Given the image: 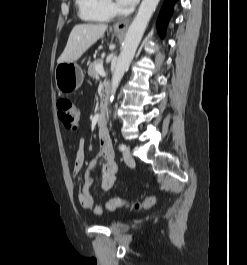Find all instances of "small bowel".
<instances>
[{
  "mask_svg": "<svg viewBox=\"0 0 247 265\" xmlns=\"http://www.w3.org/2000/svg\"><path fill=\"white\" fill-rule=\"evenodd\" d=\"M100 152L99 155L92 159L85 170L83 176L82 189L78 195V199L82 207L91 210L94 214L99 215L102 213L103 208L99 205L91 192V187L95 182L93 176L97 164L102 161L101 165V180L99 187L102 191L111 190L116 184L118 178V165L114 158V151L110 138V133L107 128H100L98 132ZM85 159V139L80 138L76 159L74 164V176L77 177L81 172ZM127 202L120 198H112L106 201L105 208L108 211H115L123 208Z\"/></svg>",
  "mask_w": 247,
  "mask_h": 265,
  "instance_id": "small-bowel-1",
  "label": "small bowel"
}]
</instances>
